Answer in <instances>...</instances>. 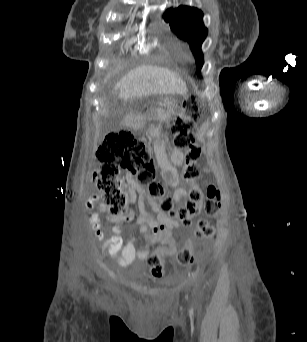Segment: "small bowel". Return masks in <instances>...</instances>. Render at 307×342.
Wrapping results in <instances>:
<instances>
[{
    "instance_id": "c3829d8e",
    "label": "small bowel",
    "mask_w": 307,
    "mask_h": 342,
    "mask_svg": "<svg viewBox=\"0 0 307 342\" xmlns=\"http://www.w3.org/2000/svg\"><path fill=\"white\" fill-rule=\"evenodd\" d=\"M183 159V153L178 149H172L170 151V161L163 156L160 157L163 179L167 185L176 188L173 194V200L177 204H181L182 201L189 196V191L181 185V179L176 170V166L181 165L183 163ZM203 172V178H205L208 172L207 168H204ZM127 180L129 183L131 198L134 199L135 196L138 195V215L136 219L140 225V231L143 237L146 233V229H151V225H173L174 229L179 227L178 223L171 221L168 215L160 211L156 206H154V208L157 211V217H154L152 214L147 212L146 204H153L151 198L131 175H128ZM199 184L200 181H191L192 187H197ZM99 199V195H92L86 202V209L88 211V219L95 236L100 240H104V244L101 249L106 250L111 257H117V262L120 267H128L136 258L140 260L146 259V255H149V253H142L141 249L136 250L135 237H124L123 231L119 225H115L113 227L112 234H105L102 231L100 227V212H92L95 203L99 201ZM111 220L118 223L127 219Z\"/></svg>"
}]
</instances>
